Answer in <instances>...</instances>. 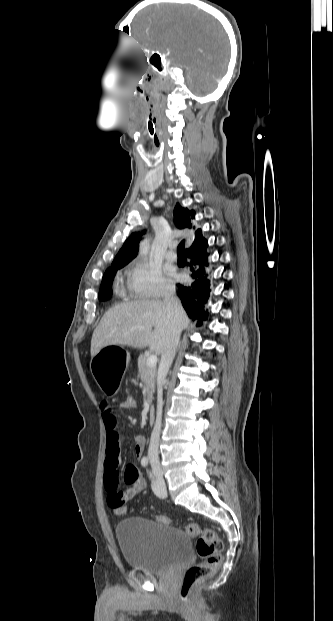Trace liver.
<instances>
[{
	"label": "liver",
	"instance_id": "obj_1",
	"mask_svg": "<svg viewBox=\"0 0 333 621\" xmlns=\"http://www.w3.org/2000/svg\"><path fill=\"white\" fill-rule=\"evenodd\" d=\"M178 322L182 329L189 325V319L182 307L178 314ZM169 326L167 308L162 301L137 300L118 304L104 314L94 330L91 339V357L110 345H125L138 349L149 346L156 354H161Z\"/></svg>",
	"mask_w": 333,
	"mask_h": 621
}]
</instances>
